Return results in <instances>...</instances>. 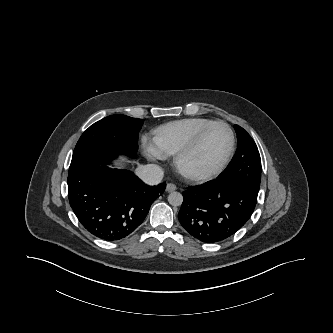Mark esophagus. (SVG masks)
I'll return each mask as SVG.
<instances>
[{"label":"esophagus","instance_id":"1","mask_svg":"<svg viewBox=\"0 0 333 333\" xmlns=\"http://www.w3.org/2000/svg\"><path fill=\"white\" fill-rule=\"evenodd\" d=\"M177 189L176 185L173 183H168L166 186V191L167 192H173Z\"/></svg>","mask_w":333,"mask_h":333}]
</instances>
